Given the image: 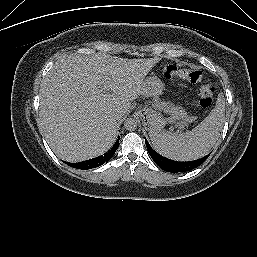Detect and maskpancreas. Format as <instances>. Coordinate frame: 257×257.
<instances>
[{
    "mask_svg": "<svg viewBox=\"0 0 257 257\" xmlns=\"http://www.w3.org/2000/svg\"><path fill=\"white\" fill-rule=\"evenodd\" d=\"M155 106L157 109L163 110L164 112L170 114L171 122L179 119L186 120L188 118L187 112L180 106H175L166 102H160L158 100H155Z\"/></svg>",
    "mask_w": 257,
    "mask_h": 257,
    "instance_id": "pancreas-1",
    "label": "pancreas"
}]
</instances>
